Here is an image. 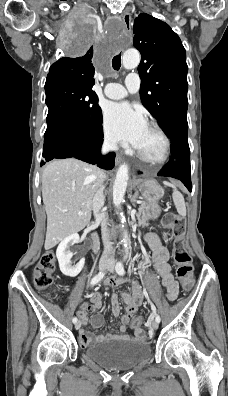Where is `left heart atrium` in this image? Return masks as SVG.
<instances>
[{
	"instance_id": "left-heart-atrium-1",
	"label": "left heart atrium",
	"mask_w": 228,
	"mask_h": 396,
	"mask_svg": "<svg viewBox=\"0 0 228 396\" xmlns=\"http://www.w3.org/2000/svg\"><path fill=\"white\" fill-rule=\"evenodd\" d=\"M105 127L115 141L137 147L146 127L144 115L129 103H112L104 111Z\"/></svg>"
}]
</instances>
